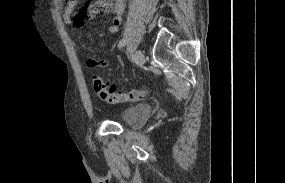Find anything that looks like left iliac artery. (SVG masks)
<instances>
[{
	"label": "left iliac artery",
	"instance_id": "44dca946",
	"mask_svg": "<svg viewBox=\"0 0 285 183\" xmlns=\"http://www.w3.org/2000/svg\"><path fill=\"white\" fill-rule=\"evenodd\" d=\"M125 45H126V40H125V39H122V40L119 42L118 47H119V48H122V47L125 46ZM133 58H134V56H133Z\"/></svg>",
	"mask_w": 285,
	"mask_h": 183
}]
</instances>
